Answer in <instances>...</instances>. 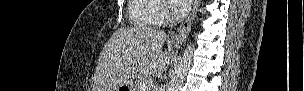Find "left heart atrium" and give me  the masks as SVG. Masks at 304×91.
Segmentation results:
<instances>
[{
    "label": "left heart atrium",
    "instance_id": "1",
    "mask_svg": "<svg viewBox=\"0 0 304 91\" xmlns=\"http://www.w3.org/2000/svg\"><path fill=\"white\" fill-rule=\"evenodd\" d=\"M169 3L172 10L176 13H184L191 6L190 0H170Z\"/></svg>",
    "mask_w": 304,
    "mask_h": 91
}]
</instances>
